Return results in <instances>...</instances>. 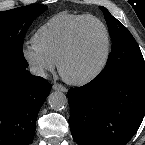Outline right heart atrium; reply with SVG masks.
Here are the masks:
<instances>
[{
	"label": "right heart atrium",
	"mask_w": 145,
	"mask_h": 145,
	"mask_svg": "<svg viewBox=\"0 0 145 145\" xmlns=\"http://www.w3.org/2000/svg\"><path fill=\"white\" fill-rule=\"evenodd\" d=\"M22 56L30 71L35 76L44 77L55 68V62L33 43L24 45L22 48Z\"/></svg>",
	"instance_id": "right-heart-atrium-1"
}]
</instances>
